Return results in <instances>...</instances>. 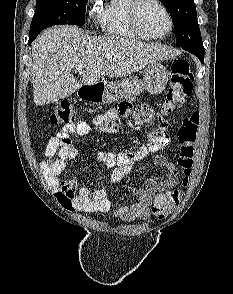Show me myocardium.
<instances>
[{
	"label": "myocardium",
	"mask_w": 233,
	"mask_h": 294,
	"mask_svg": "<svg viewBox=\"0 0 233 294\" xmlns=\"http://www.w3.org/2000/svg\"><path fill=\"white\" fill-rule=\"evenodd\" d=\"M148 2H153V3L157 4L165 12V14L168 18V21H169V28L165 33L160 34V35H152V34L148 33L144 29V27L142 26L141 19H140V12H141V9L144 6V4H146ZM130 20H131V23H132L134 29L139 34L144 36L146 39L158 40V39L165 38L168 35H170L174 29V19H173L172 13L162 0H133L131 7H130Z\"/></svg>",
	"instance_id": "f54148a6"
}]
</instances>
